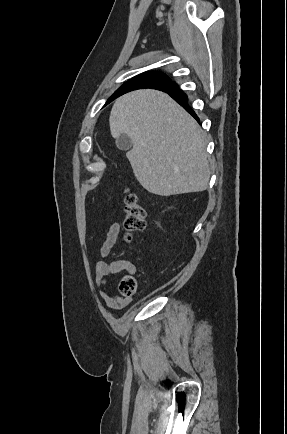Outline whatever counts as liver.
Returning a JSON list of instances; mask_svg holds the SVG:
<instances>
[{"label": "liver", "instance_id": "6515ba94", "mask_svg": "<svg viewBox=\"0 0 287 434\" xmlns=\"http://www.w3.org/2000/svg\"><path fill=\"white\" fill-rule=\"evenodd\" d=\"M113 138L127 134L134 175L148 192L160 196L204 191L210 169L205 134L169 95L145 89L118 98L109 118Z\"/></svg>", "mask_w": 287, "mask_h": 434}]
</instances>
